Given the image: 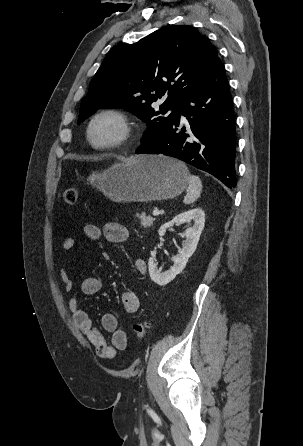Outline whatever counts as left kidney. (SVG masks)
<instances>
[{
	"label": "left kidney",
	"instance_id": "left-kidney-1",
	"mask_svg": "<svg viewBox=\"0 0 303 446\" xmlns=\"http://www.w3.org/2000/svg\"><path fill=\"white\" fill-rule=\"evenodd\" d=\"M193 222L192 226L185 231L186 240L182 243V249L176 256L173 257L174 265L167 271L162 272L157 267V263L153 258L149 259L148 268L152 281L158 285L164 286L171 282L178 274L185 268L188 259L192 256L197 248V244L204 228L205 214L201 208H194L175 216L170 222L163 224L158 231L159 236H163L166 230L174 224H181L183 222Z\"/></svg>",
	"mask_w": 303,
	"mask_h": 446
}]
</instances>
